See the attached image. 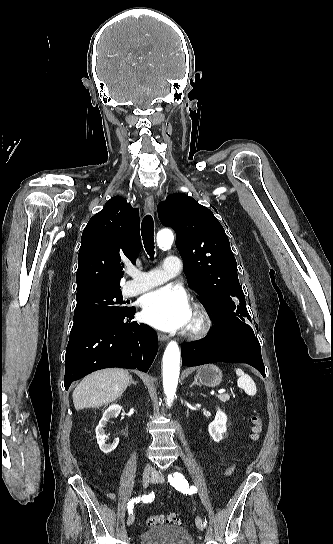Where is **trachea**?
<instances>
[{
  "instance_id": "3493384b",
  "label": "trachea",
  "mask_w": 333,
  "mask_h": 544,
  "mask_svg": "<svg viewBox=\"0 0 333 544\" xmlns=\"http://www.w3.org/2000/svg\"><path fill=\"white\" fill-rule=\"evenodd\" d=\"M143 244L150 258L154 257V222L151 215H146L141 224Z\"/></svg>"
}]
</instances>
